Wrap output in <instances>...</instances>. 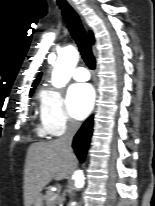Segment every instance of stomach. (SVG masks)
Returning <instances> with one entry per match:
<instances>
[{"label": "stomach", "mask_w": 155, "mask_h": 206, "mask_svg": "<svg viewBox=\"0 0 155 206\" xmlns=\"http://www.w3.org/2000/svg\"><path fill=\"white\" fill-rule=\"evenodd\" d=\"M33 206H43V198H42V195H41V194H39V195L36 197V199H35V201H34V203H33Z\"/></svg>", "instance_id": "stomach-1"}]
</instances>
